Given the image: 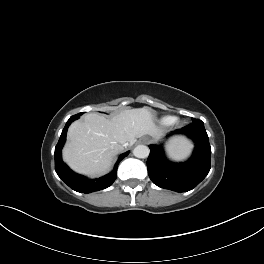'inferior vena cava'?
I'll list each match as a JSON object with an SVG mask.
<instances>
[{"label":"inferior vena cava","mask_w":264,"mask_h":264,"mask_svg":"<svg viewBox=\"0 0 264 264\" xmlns=\"http://www.w3.org/2000/svg\"><path fill=\"white\" fill-rule=\"evenodd\" d=\"M128 144L127 143H124L123 146L126 147Z\"/></svg>","instance_id":"inferior-vena-cava-1"}]
</instances>
